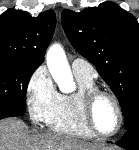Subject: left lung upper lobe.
Segmentation results:
<instances>
[{
	"label": "left lung upper lobe",
	"instance_id": "1",
	"mask_svg": "<svg viewBox=\"0 0 139 150\" xmlns=\"http://www.w3.org/2000/svg\"><path fill=\"white\" fill-rule=\"evenodd\" d=\"M62 25L71 44L88 59L117 97L125 130L139 126V24L113 2L76 13L65 9Z\"/></svg>",
	"mask_w": 139,
	"mask_h": 150
}]
</instances>
